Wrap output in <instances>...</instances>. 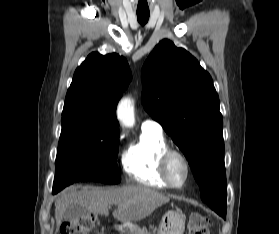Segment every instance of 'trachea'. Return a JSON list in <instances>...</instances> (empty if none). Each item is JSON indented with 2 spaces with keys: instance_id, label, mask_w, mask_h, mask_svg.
<instances>
[{
  "instance_id": "trachea-1",
  "label": "trachea",
  "mask_w": 279,
  "mask_h": 234,
  "mask_svg": "<svg viewBox=\"0 0 279 234\" xmlns=\"http://www.w3.org/2000/svg\"><path fill=\"white\" fill-rule=\"evenodd\" d=\"M149 12H137V18L138 21L141 25H144L147 23L148 19H149Z\"/></svg>"
}]
</instances>
